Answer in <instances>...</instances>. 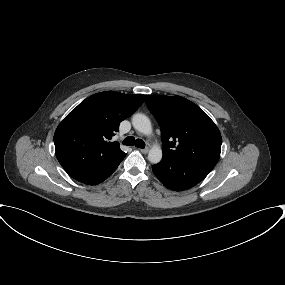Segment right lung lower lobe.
I'll list each match as a JSON object with an SVG mask.
<instances>
[{"mask_svg": "<svg viewBox=\"0 0 285 285\" xmlns=\"http://www.w3.org/2000/svg\"><path fill=\"white\" fill-rule=\"evenodd\" d=\"M123 159L103 169H84L77 164L64 166L63 168L75 180L89 185H96L107 179Z\"/></svg>", "mask_w": 285, "mask_h": 285, "instance_id": "1", "label": "right lung lower lobe"}]
</instances>
